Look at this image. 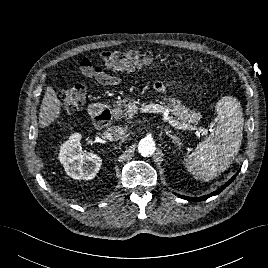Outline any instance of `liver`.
<instances>
[{"mask_svg":"<svg viewBox=\"0 0 268 268\" xmlns=\"http://www.w3.org/2000/svg\"><path fill=\"white\" fill-rule=\"evenodd\" d=\"M61 102L51 86H48L43 97L39 112V125L41 128L49 126L60 115Z\"/></svg>","mask_w":268,"mask_h":268,"instance_id":"obj_1","label":"liver"}]
</instances>
